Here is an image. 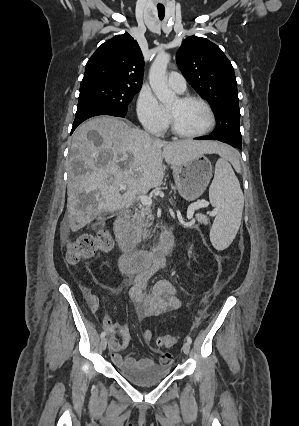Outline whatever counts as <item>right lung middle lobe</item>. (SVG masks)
I'll return each instance as SVG.
<instances>
[{
    "label": "right lung middle lobe",
    "mask_w": 299,
    "mask_h": 426,
    "mask_svg": "<svg viewBox=\"0 0 299 426\" xmlns=\"http://www.w3.org/2000/svg\"><path fill=\"white\" fill-rule=\"evenodd\" d=\"M140 88L111 83H90L80 86L78 108L87 104H99L126 114L128 105Z\"/></svg>",
    "instance_id": "dd1d6c3e"
}]
</instances>
